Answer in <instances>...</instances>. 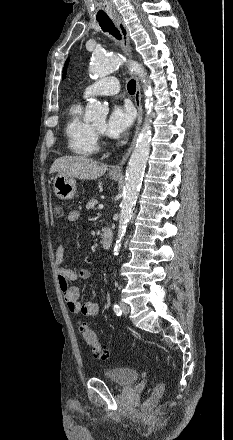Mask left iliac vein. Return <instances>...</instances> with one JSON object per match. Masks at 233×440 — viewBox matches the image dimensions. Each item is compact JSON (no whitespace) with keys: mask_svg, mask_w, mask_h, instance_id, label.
I'll list each match as a JSON object with an SVG mask.
<instances>
[{"mask_svg":"<svg viewBox=\"0 0 233 440\" xmlns=\"http://www.w3.org/2000/svg\"><path fill=\"white\" fill-rule=\"evenodd\" d=\"M121 310L124 315H128L130 313V306L126 303H121Z\"/></svg>","mask_w":233,"mask_h":440,"instance_id":"1","label":"left iliac vein"}]
</instances>
